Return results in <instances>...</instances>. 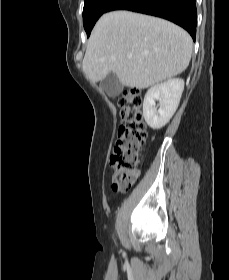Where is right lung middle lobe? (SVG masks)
Masks as SVG:
<instances>
[{"label": "right lung middle lobe", "instance_id": "obj_1", "mask_svg": "<svg viewBox=\"0 0 229 280\" xmlns=\"http://www.w3.org/2000/svg\"><path fill=\"white\" fill-rule=\"evenodd\" d=\"M114 0H84L83 24L89 37L98 18L107 11Z\"/></svg>", "mask_w": 229, "mask_h": 280}]
</instances>
